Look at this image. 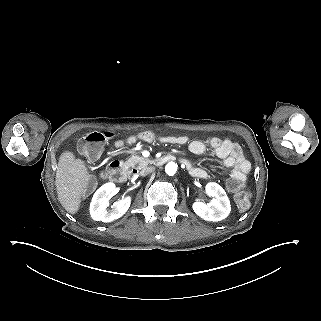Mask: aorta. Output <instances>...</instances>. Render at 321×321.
Returning a JSON list of instances; mask_svg holds the SVG:
<instances>
[{
	"instance_id": "aorta-1",
	"label": "aorta",
	"mask_w": 321,
	"mask_h": 321,
	"mask_svg": "<svg viewBox=\"0 0 321 321\" xmlns=\"http://www.w3.org/2000/svg\"><path fill=\"white\" fill-rule=\"evenodd\" d=\"M177 164L174 162H169L165 166V172L169 176H173L177 172Z\"/></svg>"
}]
</instances>
